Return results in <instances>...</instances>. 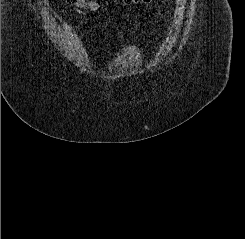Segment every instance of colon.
I'll list each match as a JSON object with an SVG mask.
<instances>
[{"instance_id": "5ec220e1", "label": "colon", "mask_w": 245, "mask_h": 239, "mask_svg": "<svg viewBox=\"0 0 245 239\" xmlns=\"http://www.w3.org/2000/svg\"><path fill=\"white\" fill-rule=\"evenodd\" d=\"M121 1L126 5L152 2V0H121ZM67 2L72 3V2H74V0H67Z\"/></svg>"}]
</instances>
